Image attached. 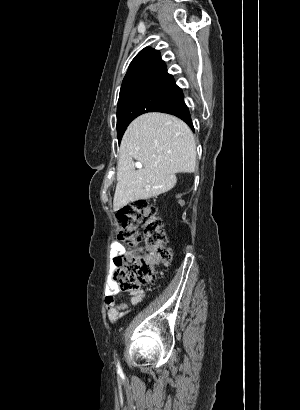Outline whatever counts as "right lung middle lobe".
I'll return each instance as SVG.
<instances>
[{
	"label": "right lung middle lobe",
	"mask_w": 300,
	"mask_h": 410,
	"mask_svg": "<svg viewBox=\"0 0 300 410\" xmlns=\"http://www.w3.org/2000/svg\"><path fill=\"white\" fill-rule=\"evenodd\" d=\"M181 95L182 90L174 82L140 83L120 90L117 106L119 142L133 119L146 112L158 111Z\"/></svg>",
	"instance_id": "1"
}]
</instances>
